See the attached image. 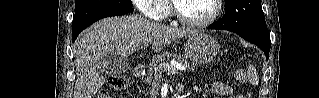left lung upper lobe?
I'll use <instances>...</instances> for the list:
<instances>
[{"mask_svg": "<svg viewBox=\"0 0 319 98\" xmlns=\"http://www.w3.org/2000/svg\"><path fill=\"white\" fill-rule=\"evenodd\" d=\"M225 15L213 24L242 34L269 35L260 0H225Z\"/></svg>", "mask_w": 319, "mask_h": 98, "instance_id": "obj_1", "label": "left lung upper lobe"}]
</instances>
